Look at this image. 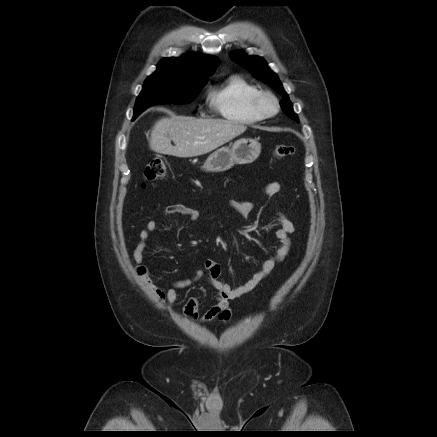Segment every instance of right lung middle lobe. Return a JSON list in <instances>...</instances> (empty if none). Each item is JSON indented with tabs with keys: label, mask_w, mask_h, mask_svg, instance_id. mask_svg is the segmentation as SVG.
<instances>
[{
	"label": "right lung middle lobe",
	"mask_w": 437,
	"mask_h": 437,
	"mask_svg": "<svg viewBox=\"0 0 437 437\" xmlns=\"http://www.w3.org/2000/svg\"><path fill=\"white\" fill-rule=\"evenodd\" d=\"M207 80L189 82L168 75L152 74L144 82L136 100L133 119L152 105L190 103Z\"/></svg>",
	"instance_id": "dd1d6c3e"
}]
</instances>
